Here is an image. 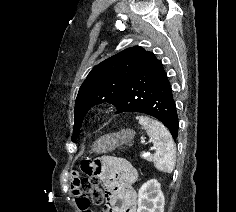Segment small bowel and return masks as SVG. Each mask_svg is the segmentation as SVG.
<instances>
[{"label": "small bowel", "instance_id": "1", "mask_svg": "<svg viewBox=\"0 0 236 212\" xmlns=\"http://www.w3.org/2000/svg\"><path fill=\"white\" fill-rule=\"evenodd\" d=\"M100 174L109 189L106 212H137V194L133 184L137 172L125 159L104 157L100 161ZM87 174L86 171H83ZM80 175L74 173L73 194L81 212H92L85 194L79 189Z\"/></svg>", "mask_w": 236, "mask_h": 212}]
</instances>
